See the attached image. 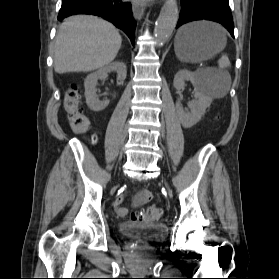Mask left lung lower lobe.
<instances>
[{
	"mask_svg": "<svg viewBox=\"0 0 279 279\" xmlns=\"http://www.w3.org/2000/svg\"><path fill=\"white\" fill-rule=\"evenodd\" d=\"M202 19L221 23L234 37V23L229 0H181L177 28L187 22Z\"/></svg>",
	"mask_w": 279,
	"mask_h": 279,
	"instance_id": "1",
	"label": "left lung lower lobe"
}]
</instances>
